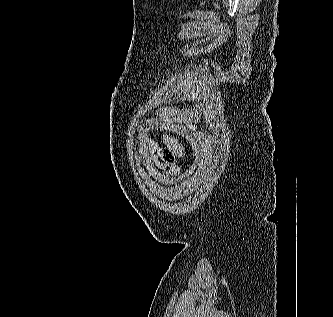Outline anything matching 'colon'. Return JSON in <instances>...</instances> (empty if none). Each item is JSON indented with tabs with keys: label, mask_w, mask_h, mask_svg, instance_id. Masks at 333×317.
I'll return each mask as SVG.
<instances>
[{
	"label": "colon",
	"mask_w": 333,
	"mask_h": 317,
	"mask_svg": "<svg viewBox=\"0 0 333 317\" xmlns=\"http://www.w3.org/2000/svg\"><path fill=\"white\" fill-rule=\"evenodd\" d=\"M162 158L166 161H171V156L167 152L162 153Z\"/></svg>",
	"instance_id": "obj_1"
}]
</instances>
